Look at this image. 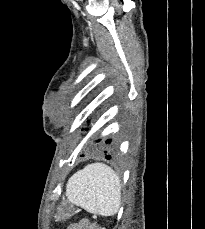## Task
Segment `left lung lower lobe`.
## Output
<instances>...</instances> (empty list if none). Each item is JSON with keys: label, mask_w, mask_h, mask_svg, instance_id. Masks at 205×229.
Listing matches in <instances>:
<instances>
[{"label": "left lung lower lobe", "mask_w": 205, "mask_h": 229, "mask_svg": "<svg viewBox=\"0 0 205 229\" xmlns=\"http://www.w3.org/2000/svg\"><path fill=\"white\" fill-rule=\"evenodd\" d=\"M106 143H110V141L108 140V141H106ZM105 153H107V151H105ZM106 158L110 159V155H107Z\"/></svg>", "instance_id": "obj_1"}]
</instances>
